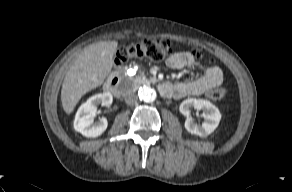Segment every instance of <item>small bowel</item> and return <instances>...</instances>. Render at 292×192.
Instances as JSON below:
<instances>
[{"mask_svg": "<svg viewBox=\"0 0 292 192\" xmlns=\"http://www.w3.org/2000/svg\"><path fill=\"white\" fill-rule=\"evenodd\" d=\"M168 67L181 69L196 65L191 52H177L172 54L166 61ZM223 81V73L217 66L206 67L204 73L198 77L181 81L176 85H170V91L165 97L182 98L192 95H200L208 89L220 85Z\"/></svg>", "mask_w": 292, "mask_h": 192, "instance_id": "small-bowel-1", "label": "small bowel"}]
</instances>
